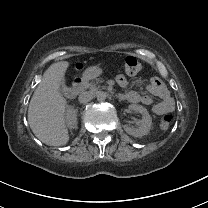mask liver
I'll return each mask as SVG.
<instances>
[{
	"mask_svg": "<svg viewBox=\"0 0 208 208\" xmlns=\"http://www.w3.org/2000/svg\"><path fill=\"white\" fill-rule=\"evenodd\" d=\"M69 61L50 65L36 87L28 107V123L34 135L48 146H64L69 142L66 125L68 99L62 94Z\"/></svg>",
	"mask_w": 208,
	"mask_h": 208,
	"instance_id": "1",
	"label": "liver"
}]
</instances>
